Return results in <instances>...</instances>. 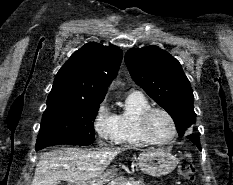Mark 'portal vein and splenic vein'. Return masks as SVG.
I'll return each mask as SVG.
<instances>
[{"label":"portal vein and splenic vein","mask_w":233,"mask_h":185,"mask_svg":"<svg viewBox=\"0 0 233 185\" xmlns=\"http://www.w3.org/2000/svg\"><path fill=\"white\" fill-rule=\"evenodd\" d=\"M64 168H70V165H63Z\"/></svg>","instance_id":"18ae733b"}]
</instances>
